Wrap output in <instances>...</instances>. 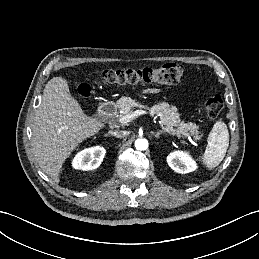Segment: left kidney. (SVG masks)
<instances>
[{"label": "left kidney", "instance_id": "5707ae66", "mask_svg": "<svg viewBox=\"0 0 259 259\" xmlns=\"http://www.w3.org/2000/svg\"><path fill=\"white\" fill-rule=\"evenodd\" d=\"M167 163L177 173L186 174L195 171L197 168L196 162L187 152L174 151L167 157Z\"/></svg>", "mask_w": 259, "mask_h": 259}]
</instances>
